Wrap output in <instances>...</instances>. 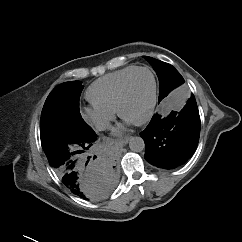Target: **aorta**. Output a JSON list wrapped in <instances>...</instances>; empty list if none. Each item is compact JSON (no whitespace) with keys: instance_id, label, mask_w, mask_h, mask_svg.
Listing matches in <instances>:
<instances>
[{"instance_id":"762f6f07","label":"aorta","mask_w":242,"mask_h":242,"mask_svg":"<svg viewBox=\"0 0 242 242\" xmlns=\"http://www.w3.org/2000/svg\"><path fill=\"white\" fill-rule=\"evenodd\" d=\"M129 148L133 152H142L145 149L144 140L141 137H131L129 140Z\"/></svg>"}]
</instances>
